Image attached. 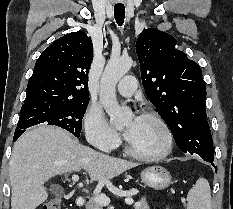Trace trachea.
<instances>
[{
	"label": "trachea",
	"mask_w": 233,
	"mask_h": 209,
	"mask_svg": "<svg viewBox=\"0 0 233 209\" xmlns=\"http://www.w3.org/2000/svg\"><path fill=\"white\" fill-rule=\"evenodd\" d=\"M114 17L119 26H122L125 18V7L124 6H115L114 7Z\"/></svg>",
	"instance_id": "1"
}]
</instances>
